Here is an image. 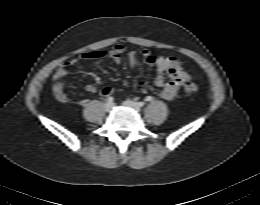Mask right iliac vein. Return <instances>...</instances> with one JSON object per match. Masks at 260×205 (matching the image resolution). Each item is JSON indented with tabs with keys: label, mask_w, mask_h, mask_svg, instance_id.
I'll use <instances>...</instances> for the list:
<instances>
[{
	"label": "right iliac vein",
	"mask_w": 260,
	"mask_h": 205,
	"mask_svg": "<svg viewBox=\"0 0 260 205\" xmlns=\"http://www.w3.org/2000/svg\"><path fill=\"white\" fill-rule=\"evenodd\" d=\"M113 107H114L113 103L107 102V103H105V105H104V110H105L106 112H110V111L113 109Z\"/></svg>",
	"instance_id": "right-iliac-vein-1"
}]
</instances>
